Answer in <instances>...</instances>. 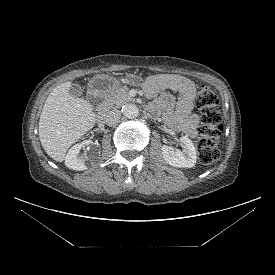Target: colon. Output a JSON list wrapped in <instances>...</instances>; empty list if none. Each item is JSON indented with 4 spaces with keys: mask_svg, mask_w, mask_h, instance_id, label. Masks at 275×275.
<instances>
[{
    "mask_svg": "<svg viewBox=\"0 0 275 275\" xmlns=\"http://www.w3.org/2000/svg\"><path fill=\"white\" fill-rule=\"evenodd\" d=\"M195 104L200 111V138L196 143L198 157L208 164L219 158L222 114L216 94L207 86L201 85L197 90Z\"/></svg>",
    "mask_w": 275,
    "mask_h": 275,
    "instance_id": "1",
    "label": "colon"
}]
</instances>
